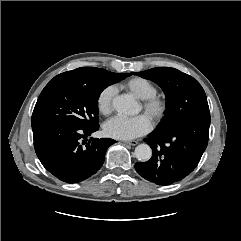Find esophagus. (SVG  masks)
Listing matches in <instances>:
<instances>
[{"mask_svg":"<svg viewBox=\"0 0 241 241\" xmlns=\"http://www.w3.org/2000/svg\"><path fill=\"white\" fill-rule=\"evenodd\" d=\"M124 143L131 146H136L138 144V141L131 140V141H125Z\"/></svg>","mask_w":241,"mask_h":241,"instance_id":"obj_1","label":"esophagus"}]
</instances>
